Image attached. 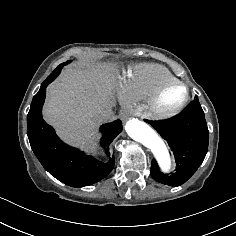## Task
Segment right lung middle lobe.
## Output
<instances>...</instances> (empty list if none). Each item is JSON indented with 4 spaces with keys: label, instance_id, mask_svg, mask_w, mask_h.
<instances>
[{
    "label": "right lung middle lobe",
    "instance_id": "right-lung-middle-lobe-1",
    "mask_svg": "<svg viewBox=\"0 0 236 236\" xmlns=\"http://www.w3.org/2000/svg\"><path fill=\"white\" fill-rule=\"evenodd\" d=\"M68 63V61L66 63H62L60 64L54 71L52 74H50V76L52 75H59L61 69L63 68V66H65Z\"/></svg>",
    "mask_w": 236,
    "mask_h": 236
}]
</instances>
